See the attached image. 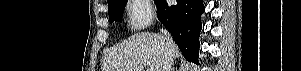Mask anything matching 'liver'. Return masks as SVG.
Returning <instances> with one entry per match:
<instances>
[{
	"label": "liver",
	"instance_id": "1",
	"mask_svg": "<svg viewBox=\"0 0 301 71\" xmlns=\"http://www.w3.org/2000/svg\"><path fill=\"white\" fill-rule=\"evenodd\" d=\"M166 49V41L161 34L133 36L105 55L101 71H144L145 65L148 66L147 71H161ZM171 51L173 58L181 56L174 43Z\"/></svg>",
	"mask_w": 301,
	"mask_h": 71
}]
</instances>
